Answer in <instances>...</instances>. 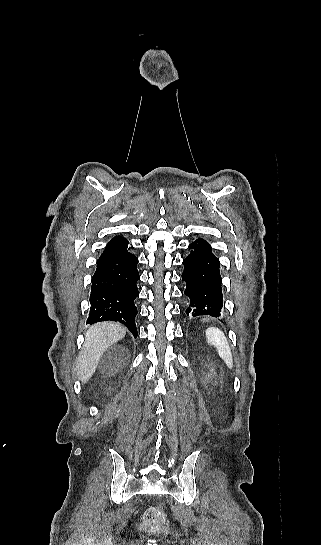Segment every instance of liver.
<instances>
[{
  "instance_id": "obj_1",
  "label": "liver",
  "mask_w": 321,
  "mask_h": 545,
  "mask_svg": "<svg viewBox=\"0 0 321 545\" xmlns=\"http://www.w3.org/2000/svg\"><path fill=\"white\" fill-rule=\"evenodd\" d=\"M125 335V327L118 323H97L88 329L76 365V373L81 383H87L91 379L103 353Z\"/></svg>"
}]
</instances>
